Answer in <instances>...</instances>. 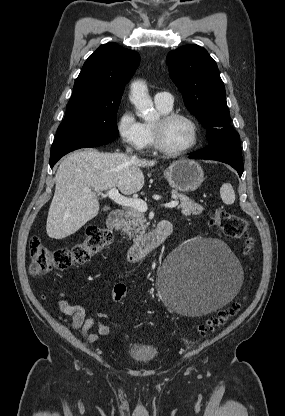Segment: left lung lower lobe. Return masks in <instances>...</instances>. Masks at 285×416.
<instances>
[{"label":"left lung lower lobe","mask_w":285,"mask_h":416,"mask_svg":"<svg viewBox=\"0 0 285 416\" xmlns=\"http://www.w3.org/2000/svg\"><path fill=\"white\" fill-rule=\"evenodd\" d=\"M189 158L220 161L232 166L240 177L243 173V160L239 138L211 143L209 146L192 153Z\"/></svg>","instance_id":"obj_1"}]
</instances>
